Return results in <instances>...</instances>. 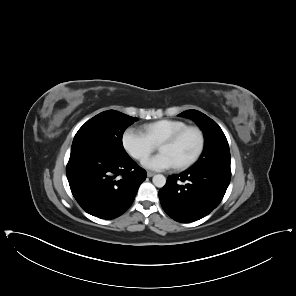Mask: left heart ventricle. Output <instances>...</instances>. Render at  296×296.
<instances>
[{"instance_id":"left-heart-ventricle-1","label":"left heart ventricle","mask_w":296,"mask_h":296,"mask_svg":"<svg viewBox=\"0 0 296 296\" xmlns=\"http://www.w3.org/2000/svg\"><path fill=\"white\" fill-rule=\"evenodd\" d=\"M197 143V134L190 132L176 145L168 148L164 153H166L174 162H179L186 159L193 153Z\"/></svg>"}]
</instances>
